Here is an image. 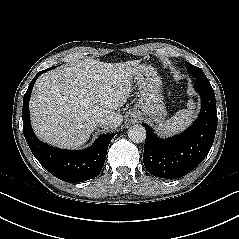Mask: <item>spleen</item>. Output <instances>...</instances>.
Listing matches in <instances>:
<instances>
[{"mask_svg":"<svg viewBox=\"0 0 239 239\" xmlns=\"http://www.w3.org/2000/svg\"><path fill=\"white\" fill-rule=\"evenodd\" d=\"M195 105L189 102L188 109L179 110L173 117L162 122L158 129L164 136H173L184 131L196 117L194 113Z\"/></svg>","mask_w":239,"mask_h":239,"instance_id":"obj_1","label":"spleen"}]
</instances>
